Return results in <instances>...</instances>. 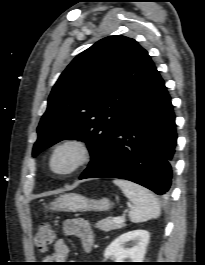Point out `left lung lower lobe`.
I'll return each mask as SVG.
<instances>
[{
    "mask_svg": "<svg viewBox=\"0 0 205 265\" xmlns=\"http://www.w3.org/2000/svg\"><path fill=\"white\" fill-rule=\"evenodd\" d=\"M176 141L171 98L155 67L80 179H126L164 195L171 186Z\"/></svg>",
    "mask_w": 205,
    "mask_h": 265,
    "instance_id": "obj_1",
    "label": "left lung lower lobe"
}]
</instances>
